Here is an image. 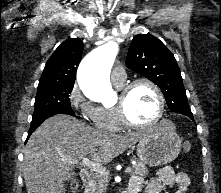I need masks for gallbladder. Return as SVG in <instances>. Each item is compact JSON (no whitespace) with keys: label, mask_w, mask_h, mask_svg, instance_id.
<instances>
[{"label":"gallbladder","mask_w":221,"mask_h":193,"mask_svg":"<svg viewBox=\"0 0 221 193\" xmlns=\"http://www.w3.org/2000/svg\"><path fill=\"white\" fill-rule=\"evenodd\" d=\"M74 176H75V174H70V175L66 178V181H70Z\"/></svg>","instance_id":"gallbladder-1"}]
</instances>
